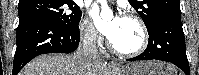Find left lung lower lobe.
I'll use <instances>...</instances> for the list:
<instances>
[{
  "instance_id": "0a47b994",
  "label": "left lung lower lobe",
  "mask_w": 199,
  "mask_h": 75,
  "mask_svg": "<svg viewBox=\"0 0 199 75\" xmlns=\"http://www.w3.org/2000/svg\"><path fill=\"white\" fill-rule=\"evenodd\" d=\"M148 34L149 42L146 50L139 56L128 60L167 61L178 66L186 75H190L181 11H171L162 15Z\"/></svg>"
}]
</instances>
